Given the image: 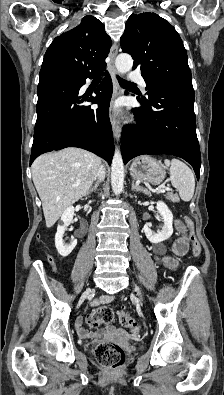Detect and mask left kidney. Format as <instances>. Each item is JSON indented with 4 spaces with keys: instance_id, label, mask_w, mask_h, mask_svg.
I'll list each match as a JSON object with an SVG mask.
<instances>
[{
    "instance_id": "obj_1",
    "label": "left kidney",
    "mask_w": 224,
    "mask_h": 395,
    "mask_svg": "<svg viewBox=\"0 0 224 395\" xmlns=\"http://www.w3.org/2000/svg\"><path fill=\"white\" fill-rule=\"evenodd\" d=\"M156 208H157V211L161 215L163 222H164L162 229L158 232H153L149 228L148 224H145L143 227V231H144L146 237L148 238V240L151 243H154V244L163 242L164 240L168 239L173 233V226H172L173 214L170 211V209L168 208V206L164 202L159 201L157 203Z\"/></svg>"
}]
</instances>
